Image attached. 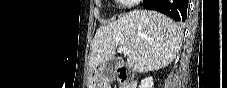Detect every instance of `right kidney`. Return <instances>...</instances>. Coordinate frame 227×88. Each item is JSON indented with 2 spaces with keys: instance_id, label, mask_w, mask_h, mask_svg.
<instances>
[{
  "instance_id": "obj_1",
  "label": "right kidney",
  "mask_w": 227,
  "mask_h": 88,
  "mask_svg": "<svg viewBox=\"0 0 227 88\" xmlns=\"http://www.w3.org/2000/svg\"><path fill=\"white\" fill-rule=\"evenodd\" d=\"M154 85L153 78L152 77H146L143 79L140 83V88H152Z\"/></svg>"
}]
</instances>
